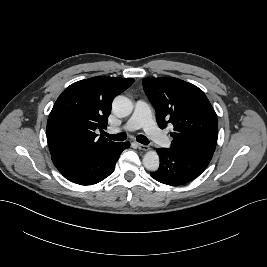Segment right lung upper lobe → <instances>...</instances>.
<instances>
[{"label":"right lung upper lobe","instance_id":"obj_1","mask_svg":"<svg viewBox=\"0 0 267 267\" xmlns=\"http://www.w3.org/2000/svg\"><path fill=\"white\" fill-rule=\"evenodd\" d=\"M134 79L92 77L73 83L56 100L47 121V141L52 157L77 155L109 148L117 142L96 138L107 125L114 97Z\"/></svg>","mask_w":267,"mask_h":267}]
</instances>
